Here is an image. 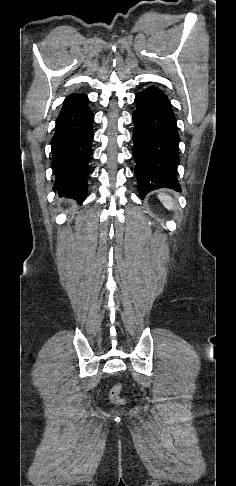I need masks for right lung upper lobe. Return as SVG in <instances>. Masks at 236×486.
<instances>
[{"label": "right lung upper lobe", "mask_w": 236, "mask_h": 486, "mask_svg": "<svg viewBox=\"0 0 236 486\" xmlns=\"http://www.w3.org/2000/svg\"><path fill=\"white\" fill-rule=\"evenodd\" d=\"M75 95H78V94H75V93H74V94L69 95L68 97L75 96Z\"/></svg>", "instance_id": "obj_1"}]
</instances>
